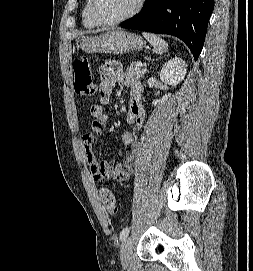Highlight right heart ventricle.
<instances>
[{"mask_svg": "<svg viewBox=\"0 0 253 271\" xmlns=\"http://www.w3.org/2000/svg\"><path fill=\"white\" fill-rule=\"evenodd\" d=\"M89 5H90V0H85L83 9H82V21H83V25L87 29H93V28H96L97 25L95 24V22L93 21L90 15Z\"/></svg>", "mask_w": 253, "mask_h": 271, "instance_id": "e07e8e85", "label": "right heart ventricle"}]
</instances>
